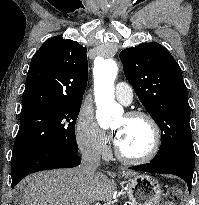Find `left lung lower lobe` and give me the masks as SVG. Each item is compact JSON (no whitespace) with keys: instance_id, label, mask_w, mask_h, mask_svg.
<instances>
[{"instance_id":"obj_1","label":"left lung lower lobe","mask_w":199,"mask_h":205,"mask_svg":"<svg viewBox=\"0 0 199 205\" xmlns=\"http://www.w3.org/2000/svg\"><path fill=\"white\" fill-rule=\"evenodd\" d=\"M195 159L187 157H172L162 161H152L147 164L130 167L132 170L162 173V174H174L182 178L188 186L189 192H191V183L194 173Z\"/></svg>"}]
</instances>
